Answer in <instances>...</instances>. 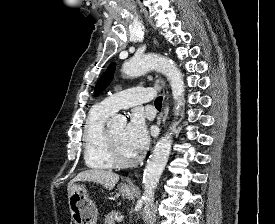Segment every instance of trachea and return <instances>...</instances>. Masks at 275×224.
Returning <instances> with one entry per match:
<instances>
[{
    "mask_svg": "<svg viewBox=\"0 0 275 224\" xmlns=\"http://www.w3.org/2000/svg\"><path fill=\"white\" fill-rule=\"evenodd\" d=\"M161 105H162V96H159L155 100V107L161 108Z\"/></svg>",
    "mask_w": 275,
    "mask_h": 224,
    "instance_id": "obj_1",
    "label": "trachea"
}]
</instances>
